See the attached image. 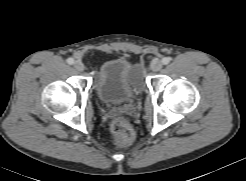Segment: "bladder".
Masks as SVG:
<instances>
[{
    "label": "bladder",
    "mask_w": 246,
    "mask_h": 181,
    "mask_svg": "<svg viewBox=\"0 0 246 181\" xmlns=\"http://www.w3.org/2000/svg\"><path fill=\"white\" fill-rule=\"evenodd\" d=\"M96 91L106 104H122L141 88V69L130 61L116 58L103 63L95 75Z\"/></svg>",
    "instance_id": "obj_1"
}]
</instances>
